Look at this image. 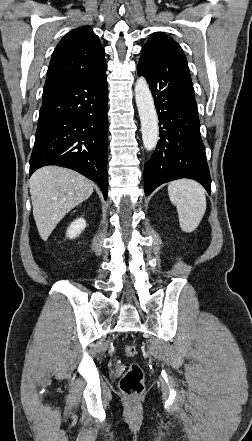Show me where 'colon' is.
Segmentation results:
<instances>
[{
    "label": "colon",
    "instance_id": "obj_1",
    "mask_svg": "<svg viewBox=\"0 0 252 441\" xmlns=\"http://www.w3.org/2000/svg\"><path fill=\"white\" fill-rule=\"evenodd\" d=\"M137 351L135 346L126 345L124 347V354L128 358H133ZM120 388L123 394L128 399L138 398L144 390L143 372L137 363H131L127 371L120 381Z\"/></svg>",
    "mask_w": 252,
    "mask_h": 441
}]
</instances>
